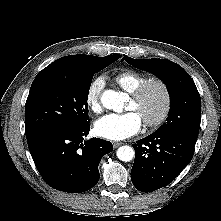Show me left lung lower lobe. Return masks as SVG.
Instances as JSON below:
<instances>
[{
    "label": "left lung lower lobe",
    "instance_id": "obj_1",
    "mask_svg": "<svg viewBox=\"0 0 221 221\" xmlns=\"http://www.w3.org/2000/svg\"><path fill=\"white\" fill-rule=\"evenodd\" d=\"M198 134L180 131L155 132L138 140L131 170L134 186L151 192L171 183L190 163Z\"/></svg>",
    "mask_w": 221,
    "mask_h": 221
}]
</instances>
